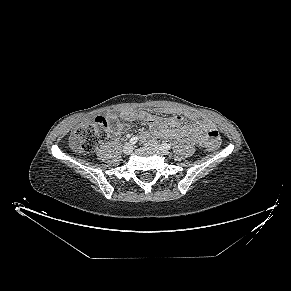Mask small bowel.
I'll return each mask as SVG.
<instances>
[{"label": "small bowel", "instance_id": "c3829d8e", "mask_svg": "<svg viewBox=\"0 0 291 291\" xmlns=\"http://www.w3.org/2000/svg\"><path fill=\"white\" fill-rule=\"evenodd\" d=\"M157 111L160 113L173 112L171 108H159ZM190 117L198 123L197 127L184 125L183 118L180 115L163 118L143 110H125L121 113V121L117 123L114 133L119 135L123 133L132 122L142 121L149 126L150 130L141 134V140H146L151 134L172 138L190 136L198 144L205 145L212 133L217 132L215 127L212 123L198 114L191 113Z\"/></svg>", "mask_w": 291, "mask_h": 291}]
</instances>
